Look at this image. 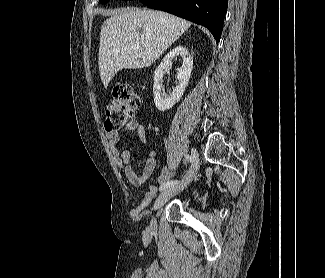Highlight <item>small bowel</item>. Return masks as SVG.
<instances>
[{"label": "small bowel", "mask_w": 325, "mask_h": 278, "mask_svg": "<svg viewBox=\"0 0 325 278\" xmlns=\"http://www.w3.org/2000/svg\"><path fill=\"white\" fill-rule=\"evenodd\" d=\"M132 131L137 132L139 140L143 145H147L149 143V139L146 135V130L137 119H131L128 123H126L122 128L118 130L107 132L106 136L113 145V154L116 165L123 170L126 178L133 186L139 187L146 184L150 180L156 167L157 153L155 151H151L146 159L143 170L140 174L137 173L131 165L130 152L127 149L116 145L124 133ZM176 174L177 170H170L167 166H165L158 176V183L163 185ZM156 193V187H149L138 207V210L141 211L146 208L150 204L151 200L156 196Z\"/></svg>", "instance_id": "small-bowel-1"}]
</instances>
